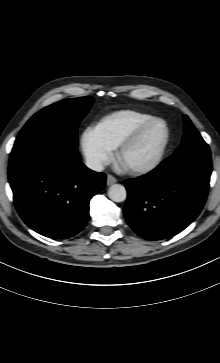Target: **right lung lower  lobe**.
Segmentation results:
<instances>
[{"label":"right lung lower lobe","instance_id":"obj_1","mask_svg":"<svg viewBox=\"0 0 220 363\" xmlns=\"http://www.w3.org/2000/svg\"><path fill=\"white\" fill-rule=\"evenodd\" d=\"M9 182L16 209L34 231L67 239L86 225L89 202L106 175L85 167L76 148L61 139L25 147L10 156Z\"/></svg>","mask_w":220,"mask_h":363}]
</instances>
